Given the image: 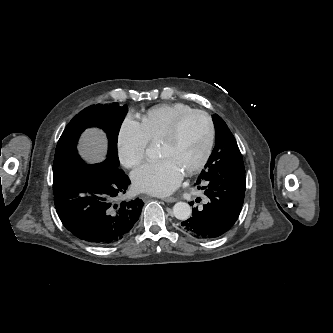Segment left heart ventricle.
Returning <instances> with one entry per match:
<instances>
[{
  "mask_svg": "<svg viewBox=\"0 0 333 333\" xmlns=\"http://www.w3.org/2000/svg\"><path fill=\"white\" fill-rule=\"evenodd\" d=\"M208 140V125L199 115L187 119L173 142H160L159 157L172 159L185 172L202 157Z\"/></svg>",
  "mask_w": 333,
  "mask_h": 333,
  "instance_id": "obj_1",
  "label": "left heart ventricle"
}]
</instances>
